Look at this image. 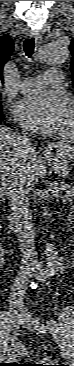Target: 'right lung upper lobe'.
Returning <instances> with one entry per match:
<instances>
[{
  "label": "right lung upper lobe",
  "instance_id": "right-lung-upper-lobe-1",
  "mask_svg": "<svg viewBox=\"0 0 74 366\" xmlns=\"http://www.w3.org/2000/svg\"><path fill=\"white\" fill-rule=\"evenodd\" d=\"M14 50V45L10 37H0V85L3 84L4 79L2 76V71L4 64L10 58Z\"/></svg>",
  "mask_w": 74,
  "mask_h": 366
}]
</instances>
